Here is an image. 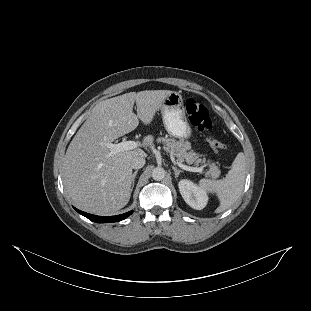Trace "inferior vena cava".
Returning <instances> with one entry per match:
<instances>
[{
    "label": "inferior vena cava",
    "mask_w": 311,
    "mask_h": 311,
    "mask_svg": "<svg viewBox=\"0 0 311 311\" xmlns=\"http://www.w3.org/2000/svg\"><path fill=\"white\" fill-rule=\"evenodd\" d=\"M146 161L143 157H135L131 161V167L133 169H140L145 165Z\"/></svg>",
    "instance_id": "1"
}]
</instances>
